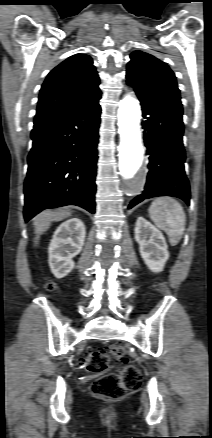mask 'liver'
Instances as JSON below:
<instances>
[{"label":"liver","mask_w":212,"mask_h":438,"mask_svg":"<svg viewBox=\"0 0 212 438\" xmlns=\"http://www.w3.org/2000/svg\"><path fill=\"white\" fill-rule=\"evenodd\" d=\"M71 215V211L68 209H57L54 211H47L43 212L40 215H38L34 220V231H35V238H34V244L37 245L40 235L46 232L51 223L54 221H60L63 220Z\"/></svg>","instance_id":"liver-1"}]
</instances>
